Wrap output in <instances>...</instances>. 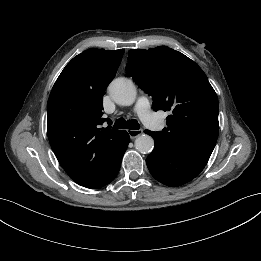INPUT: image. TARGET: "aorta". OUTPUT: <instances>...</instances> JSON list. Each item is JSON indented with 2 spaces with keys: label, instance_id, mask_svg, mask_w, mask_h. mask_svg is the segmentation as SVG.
<instances>
[{
  "label": "aorta",
  "instance_id": "aorta-1",
  "mask_svg": "<svg viewBox=\"0 0 261 261\" xmlns=\"http://www.w3.org/2000/svg\"><path fill=\"white\" fill-rule=\"evenodd\" d=\"M108 91L112 99L122 106L132 105L137 96V91L134 83L127 78L114 79L109 87ZM135 148L137 151L143 154L150 153L154 148V140L147 134L138 136L135 140Z\"/></svg>",
  "mask_w": 261,
  "mask_h": 261
}]
</instances>
